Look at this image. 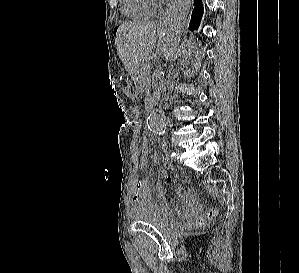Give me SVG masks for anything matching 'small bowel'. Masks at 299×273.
I'll return each mask as SVG.
<instances>
[{"mask_svg":"<svg viewBox=\"0 0 299 273\" xmlns=\"http://www.w3.org/2000/svg\"><path fill=\"white\" fill-rule=\"evenodd\" d=\"M149 159V149H142L140 155V167L143 169L147 166ZM164 177L168 181H172L171 175L165 174ZM178 196L181 200V207L178 214L185 220H193L200 213L201 207L196 198L191 195L188 189L181 186L177 189ZM156 200L153 198L149 183L147 180H139L136 184L134 194L135 210L143 208H152L156 210L159 215L165 219H173V213L169 206L166 204V193L161 183L155 185Z\"/></svg>","mask_w":299,"mask_h":273,"instance_id":"small-bowel-1","label":"small bowel"}]
</instances>
